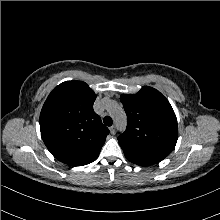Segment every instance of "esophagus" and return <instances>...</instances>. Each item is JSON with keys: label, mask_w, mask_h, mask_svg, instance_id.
<instances>
[{"label": "esophagus", "mask_w": 220, "mask_h": 220, "mask_svg": "<svg viewBox=\"0 0 220 220\" xmlns=\"http://www.w3.org/2000/svg\"><path fill=\"white\" fill-rule=\"evenodd\" d=\"M109 130H110V133L111 134H115V132H116V129H115V126H111L110 128H109Z\"/></svg>", "instance_id": "1"}]
</instances>
